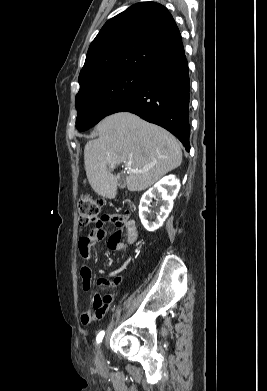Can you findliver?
<instances>
[{"label":"liver","instance_id":"1","mask_svg":"<svg viewBox=\"0 0 267 391\" xmlns=\"http://www.w3.org/2000/svg\"><path fill=\"white\" fill-rule=\"evenodd\" d=\"M98 139L89 141L84 148L87 179L99 195L112 199L116 195L118 179L108 166L129 162L125 179L130 191H142L168 172L179 167L182 151L178 140L165 129L148 123L129 112L105 117L96 126Z\"/></svg>","mask_w":267,"mask_h":391}]
</instances>
